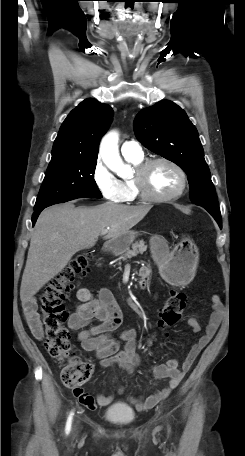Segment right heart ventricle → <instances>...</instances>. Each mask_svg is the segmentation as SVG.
Returning <instances> with one entry per match:
<instances>
[{
    "mask_svg": "<svg viewBox=\"0 0 245 456\" xmlns=\"http://www.w3.org/2000/svg\"><path fill=\"white\" fill-rule=\"evenodd\" d=\"M125 159L137 167L141 162H143V156L141 157H125ZM123 190H124V199L123 202H133L139 198L138 190L134 184L133 179H124L121 181Z\"/></svg>",
    "mask_w": 245,
    "mask_h": 456,
    "instance_id": "right-heart-ventricle-1",
    "label": "right heart ventricle"
}]
</instances>
